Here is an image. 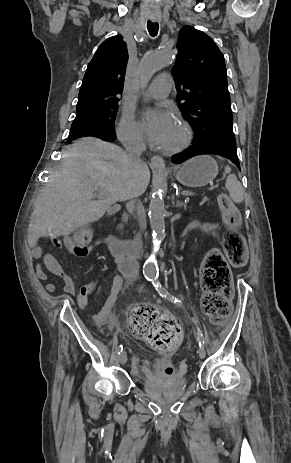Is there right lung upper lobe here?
Listing matches in <instances>:
<instances>
[{
    "mask_svg": "<svg viewBox=\"0 0 291 463\" xmlns=\"http://www.w3.org/2000/svg\"><path fill=\"white\" fill-rule=\"evenodd\" d=\"M128 61L121 35L105 40L88 64L79 91L76 117L118 103Z\"/></svg>",
    "mask_w": 291,
    "mask_h": 463,
    "instance_id": "1",
    "label": "right lung upper lobe"
}]
</instances>
